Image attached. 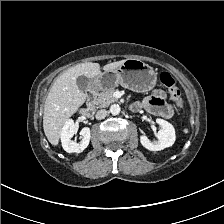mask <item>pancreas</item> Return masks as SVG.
<instances>
[{
	"mask_svg": "<svg viewBox=\"0 0 224 224\" xmlns=\"http://www.w3.org/2000/svg\"><path fill=\"white\" fill-rule=\"evenodd\" d=\"M115 91V87H112L98 93L94 98V104L99 108H104L116 102L117 99L113 96Z\"/></svg>",
	"mask_w": 224,
	"mask_h": 224,
	"instance_id": "pancreas-1",
	"label": "pancreas"
}]
</instances>
